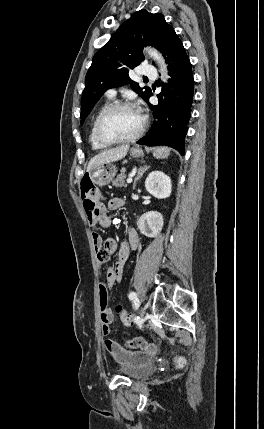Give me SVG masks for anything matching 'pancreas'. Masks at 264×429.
I'll use <instances>...</instances> for the list:
<instances>
[{
    "instance_id": "obj_1",
    "label": "pancreas",
    "mask_w": 264,
    "mask_h": 429,
    "mask_svg": "<svg viewBox=\"0 0 264 429\" xmlns=\"http://www.w3.org/2000/svg\"><path fill=\"white\" fill-rule=\"evenodd\" d=\"M125 180L126 175L124 172H121L116 178L112 180V185L117 188L126 187L127 185L125 184Z\"/></svg>"
}]
</instances>
